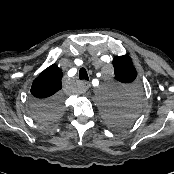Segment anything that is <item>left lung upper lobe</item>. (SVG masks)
<instances>
[{
    "mask_svg": "<svg viewBox=\"0 0 174 174\" xmlns=\"http://www.w3.org/2000/svg\"><path fill=\"white\" fill-rule=\"evenodd\" d=\"M115 78L121 82L129 83L136 79L137 72L133 67L131 58L127 55L116 56L113 59ZM138 98L136 95L128 97L124 106H113L107 113V120L115 127L121 128L130 124L134 117V107Z\"/></svg>",
    "mask_w": 174,
    "mask_h": 174,
    "instance_id": "obj_1",
    "label": "left lung upper lobe"
}]
</instances>
